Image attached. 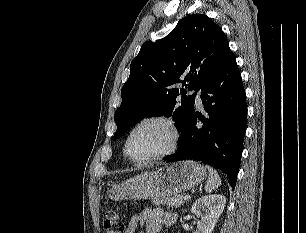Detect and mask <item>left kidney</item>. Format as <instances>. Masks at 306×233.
Masks as SVG:
<instances>
[{"label": "left kidney", "mask_w": 306, "mask_h": 233, "mask_svg": "<svg viewBox=\"0 0 306 233\" xmlns=\"http://www.w3.org/2000/svg\"><path fill=\"white\" fill-rule=\"evenodd\" d=\"M226 198L220 194L202 196L192 205L191 212L201 219L193 233H212L225 207ZM203 212V214H202Z\"/></svg>", "instance_id": "left-kidney-1"}]
</instances>
